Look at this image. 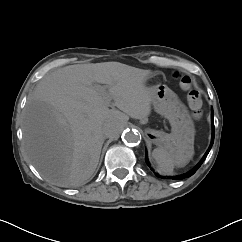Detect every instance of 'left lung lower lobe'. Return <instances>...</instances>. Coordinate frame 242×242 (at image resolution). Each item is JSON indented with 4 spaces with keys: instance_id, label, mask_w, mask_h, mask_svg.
<instances>
[{
    "instance_id": "1",
    "label": "left lung lower lobe",
    "mask_w": 242,
    "mask_h": 242,
    "mask_svg": "<svg viewBox=\"0 0 242 242\" xmlns=\"http://www.w3.org/2000/svg\"><path fill=\"white\" fill-rule=\"evenodd\" d=\"M211 119H212V140H211V144H210V146H209V148H208V150H207V152L205 153V155L203 156V158L201 159V161L191 170V171H189V172H187V173H185V174H182V175H179V176H174V177H170V179H177V180H180V179H184V178H186V177H190V176H192L195 172H196V170L201 166V164L204 162V160L206 159V157H207V155H208V153H209V151H210V149H211V147H212V145H213V142H214V134H215V128H214V123H213V109H212V112H211ZM145 161H146V163L149 165V162H148V160H147V155H146V157H145ZM156 176L157 177H161L162 178V176H160L159 174H156Z\"/></svg>"
}]
</instances>
